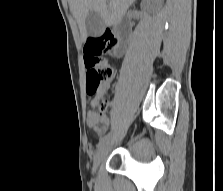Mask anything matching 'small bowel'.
I'll return each mask as SVG.
<instances>
[{"mask_svg":"<svg viewBox=\"0 0 223 191\" xmlns=\"http://www.w3.org/2000/svg\"><path fill=\"white\" fill-rule=\"evenodd\" d=\"M120 53V52H118ZM111 80L112 78L107 81L104 86L102 87L101 91H100V95L105 94L106 92L109 91L110 87H111ZM99 99L100 97L97 96L95 99H93L91 101V106L93 107V110H91L88 113V118H87V122L89 127L99 136L104 135L107 130L108 127L110 125V119L109 117H107L106 115L103 114H99L97 113L94 108L97 106V104L99 103Z\"/></svg>","mask_w":223,"mask_h":191,"instance_id":"c3829d8e","label":"small bowel"}]
</instances>
